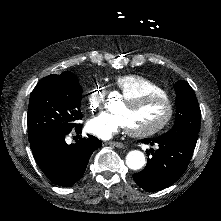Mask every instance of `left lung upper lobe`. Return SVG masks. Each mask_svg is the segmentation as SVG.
I'll return each instance as SVG.
<instances>
[{
    "label": "left lung upper lobe",
    "instance_id": "1",
    "mask_svg": "<svg viewBox=\"0 0 221 221\" xmlns=\"http://www.w3.org/2000/svg\"><path fill=\"white\" fill-rule=\"evenodd\" d=\"M176 90V120L168 132H178L197 141L200 130L201 111L195 92L187 81H178Z\"/></svg>",
    "mask_w": 221,
    "mask_h": 221
}]
</instances>
